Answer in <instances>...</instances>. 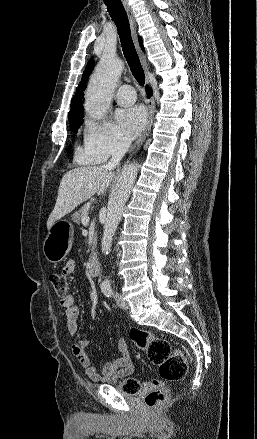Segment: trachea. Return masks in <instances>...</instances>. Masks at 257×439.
Wrapping results in <instances>:
<instances>
[{
	"label": "trachea",
	"instance_id": "trachea-1",
	"mask_svg": "<svg viewBox=\"0 0 257 439\" xmlns=\"http://www.w3.org/2000/svg\"><path fill=\"white\" fill-rule=\"evenodd\" d=\"M107 10L115 22L122 46V51L130 67L132 75L140 85L145 83V74L136 52L128 22V17L120 0H103Z\"/></svg>",
	"mask_w": 257,
	"mask_h": 439
}]
</instances>
